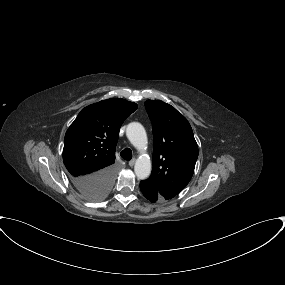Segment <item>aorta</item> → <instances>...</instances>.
Masks as SVG:
<instances>
[{"instance_id":"aorta-1","label":"aorta","mask_w":285,"mask_h":285,"mask_svg":"<svg viewBox=\"0 0 285 285\" xmlns=\"http://www.w3.org/2000/svg\"><path fill=\"white\" fill-rule=\"evenodd\" d=\"M126 135L131 144L140 152L147 148V134L144 127L138 122L128 124ZM134 171L138 179L144 180L151 173V161L148 156H140L135 163Z\"/></svg>"}]
</instances>
